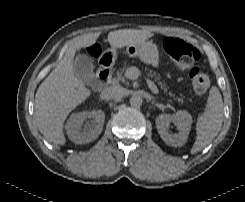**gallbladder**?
<instances>
[{
	"label": "gallbladder",
	"instance_id": "bac80fb5",
	"mask_svg": "<svg viewBox=\"0 0 245 202\" xmlns=\"http://www.w3.org/2000/svg\"><path fill=\"white\" fill-rule=\"evenodd\" d=\"M94 66L89 56L78 54L73 62L74 75L83 83L93 82L95 79Z\"/></svg>",
	"mask_w": 245,
	"mask_h": 202
}]
</instances>
